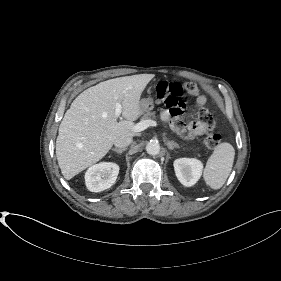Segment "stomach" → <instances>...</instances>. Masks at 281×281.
Masks as SVG:
<instances>
[{
	"label": "stomach",
	"mask_w": 281,
	"mask_h": 281,
	"mask_svg": "<svg viewBox=\"0 0 281 281\" xmlns=\"http://www.w3.org/2000/svg\"><path fill=\"white\" fill-rule=\"evenodd\" d=\"M154 108V103L151 98H145L140 101V113L150 112Z\"/></svg>",
	"instance_id": "0dacf381"
}]
</instances>
